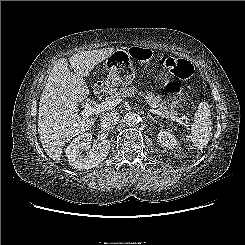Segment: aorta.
Listing matches in <instances>:
<instances>
[{
  "mask_svg": "<svg viewBox=\"0 0 245 245\" xmlns=\"http://www.w3.org/2000/svg\"><path fill=\"white\" fill-rule=\"evenodd\" d=\"M124 122L128 125V126H134L139 122V117L137 114H135L134 112H128L125 116H124Z\"/></svg>",
  "mask_w": 245,
  "mask_h": 245,
  "instance_id": "obj_1",
  "label": "aorta"
}]
</instances>
